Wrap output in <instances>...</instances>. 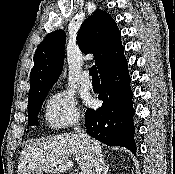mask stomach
<instances>
[{"mask_svg": "<svg viewBox=\"0 0 175 174\" xmlns=\"http://www.w3.org/2000/svg\"><path fill=\"white\" fill-rule=\"evenodd\" d=\"M31 174H37V173L33 172V173H31Z\"/></svg>", "mask_w": 175, "mask_h": 174, "instance_id": "obj_1", "label": "stomach"}]
</instances>
